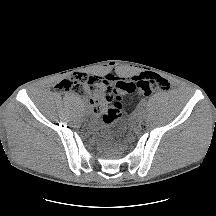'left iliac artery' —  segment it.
<instances>
[{"label": "left iliac artery", "mask_w": 216, "mask_h": 216, "mask_svg": "<svg viewBox=\"0 0 216 216\" xmlns=\"http://www.w3.org/2000/svg\"><path fill=\"white\" fill-rule=\"evenodd\" d=\"M141 105H142V106H145V105H146V102H142Z\"/></svg>", "instance_id": "left-iliac-artery-1"}]
</instances>
